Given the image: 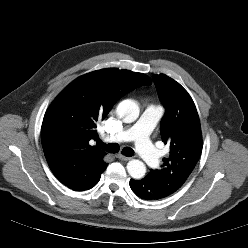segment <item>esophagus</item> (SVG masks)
Wrapping results in <instances>:
<instances>
[{
    "label": "esophagus",
    "mask_w": 248,
    "mask_h": 248,
    "mask_svg": "<svg viewBox=\"0 0 248 248\" xmlns=\"http://www.w3.org/2000/svg\"><path fill=\"white\" fill-rule=\"evenodd\" d=\"M116 157H117L118 159L124 160V161H128V160L131 159L130 157H126V156H124L123 154H117Z\"/></svg>",
    "instance_id": "esophagus-1"
}]
</instances>
